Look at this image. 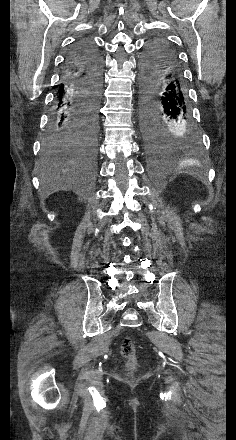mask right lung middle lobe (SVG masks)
<instances>
[{
  "label": "right lung middle lobe",
  "instance_id": "right-lung-middle-lobe-1",
  "mask_svg": "<svg viewBox=\"0 0 236 440\" xmlns=\"http://www.w3.org/2000/svg\"><path fill=\"white\" fill-rule=\"evenodd\" d=\"M101 94L98 84L85 86L83 95L89 103L87 121L83 130L75 133L50 132L44 142L42 159L48 163H56L61 159H72L75 155L92 161L94 153L90 146L95 147L97 131V108ZM95 149V148H94Z\"/></svg>",
  "mask_w": 236,
  "mask_h": 440
}]
</instances>
